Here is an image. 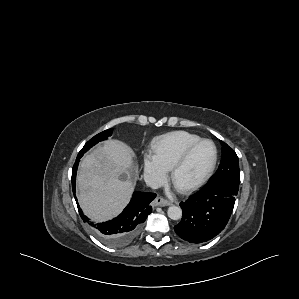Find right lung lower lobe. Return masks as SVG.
Instances as JSON below:
<instances>
[{
  "label": "right lung lower lobe",
  "instance_id": "right-lung-lower-lobe-1",
  "mask_svg": "<svg viewBox=\"0 0 299 299\" xmlns=\"http://www.w3.org/2000/svg\"><path fill=\"white\" fill-rule=\"evenodd\" d=\"M83 154L84 153L79 152L73 166L72 189L79 214L85 222H88L89 219L82 213L75 196L76 172L79 159L83 156ZM155 197L156 195L154 193L134 192L130 203L118 217L105 223L93 225L95 227L96 234L103 242L113 247H123L129 244L136 237L141 224L151 213L152 207L150 206V202L153 201Z\"/></svg>",
  "mask_w": 299,
  "mask_h": 299
}]
</instances>
